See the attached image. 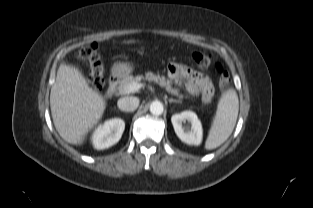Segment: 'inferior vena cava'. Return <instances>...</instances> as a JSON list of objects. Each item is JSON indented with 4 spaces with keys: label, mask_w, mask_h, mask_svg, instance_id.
Wrapping results in <instances>:
<instances>
[{
    "label": "inferior vena cava",
    "mask_w": 313,
    "mask_h": 208,
    "mask_svg": "<svg viewBox=\"0 0 313 208\" xmlns=\"http://www.w3.org/2000/svg\"><path fill=\"white\" fill-rule=\"evenodd\" d=\"M118 108L125 112H133L139 106V99L137 97H123L117 102Z\"/></svg>",
    "instance_id": "inferior-vena-cava-1"
}]
</instances>
